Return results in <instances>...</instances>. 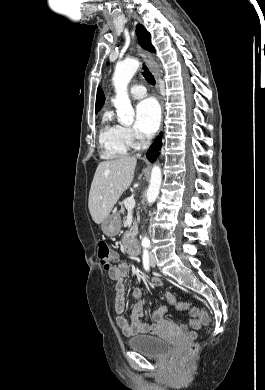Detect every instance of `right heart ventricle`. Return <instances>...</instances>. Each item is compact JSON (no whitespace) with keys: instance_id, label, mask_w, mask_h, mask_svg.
<instances>
[{"instance_id":"1","label":"right heart ventricle","mask_w":265,"mask_h":390,"mask_svg":"<svg viewBox=\"0 0 265 390\" xmlns=\"http://www.w3.org/2000/svg\"><path fill=\"white\" fill-rule=\"evenodd\" d=\"M99 144L104 159L120 158L126 155L131 147L125 136L124 127L114 121L110 110H106L102 116Z\"/></svg>"}]
</instances>
